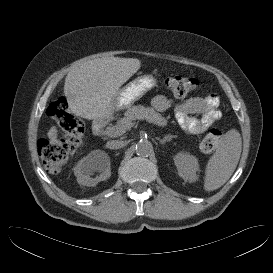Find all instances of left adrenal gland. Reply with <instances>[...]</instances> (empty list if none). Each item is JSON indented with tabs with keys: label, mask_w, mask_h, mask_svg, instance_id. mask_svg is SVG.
I'll list each match as a JSON object with an SVG mask.
<instances>
[{
	"label": "left adrenal gland",
	"mask_w": 273,
	"mask_h": 273,
	"mask_svg": "<svg viewBox=\"0 0 273 273\" xmlns=\"http://www.w3.org/2000/svg\"><path fill=\"white\" fill-rule=\"evenodd\" d=\"M176 136H173V135H166L163 137V139H158L160 144L164 145L165 142H169L172 140V138H175Z\"/></svg>",
	"instance_id": "left-adrenal-gland-1"
}]
</instances>
